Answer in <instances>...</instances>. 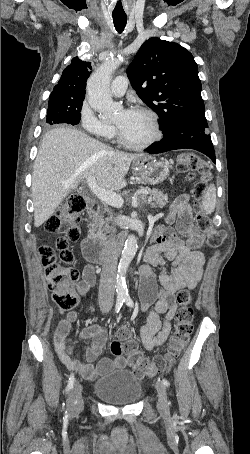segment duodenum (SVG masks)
I'll list each match as a JSON object with an SVG mask.
<instances>
[{
    "label": "duodenum",
    "mask_w": 250,
    "mask_h": 454,
    "mask_svg": "<svg viewBox=\"0 0 250 454\" xmlns=\"http://www.w3.org/2000/svg\"><path fill=\"white\" fill-rule=\"evenodd\" d=\"M85 204L89 209V214H92L94 211L92 199L87 197ZM127 238L128 233L122 232L112 243L104 244L99 239L88 235L82 244L84 258L93 264H102L113 250L121 247L126 242Z\"/></svg>",
    "instance_id": "obj_1"
}]
</instances>
